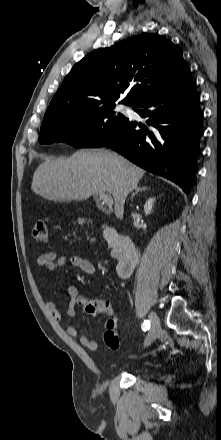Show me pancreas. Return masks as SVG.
Here are the masks:
<instances>
[{"label": "pancreas", "mask_w": 221, "mask_h": 440, "mask_svg": "<svg viewBox=\"0 0 221 440\" xmlns=\"http://www.w3.org/2000/svg\"><path fill=\"white\" fill-rule=\"evenodd\" d=\"M115 255H116V257H118L120 255V252L116 251Z\"/></svg>", "instance_id": "obj_1"}]
</instances>
